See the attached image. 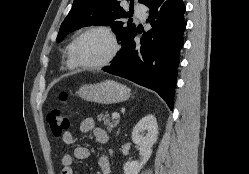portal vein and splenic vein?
Here are the masks:
<instances>
[{"label": "portal vein and splenic vein", "instance_id": "portal-vein-and-splenic-vein-1", "mask_svg": "<svg viewBox=\"0 0 249 174\" xmlns=\"http://www.w3.org/2000/svg\"><path fill=\"white\" fill-rule=\"evenodd\" d=\"M112 118H113V119H119V118H120L119 113H113V114H112Z\"/></svg>", "mask_w": 249, "mask_h": 174}]
</instances>
